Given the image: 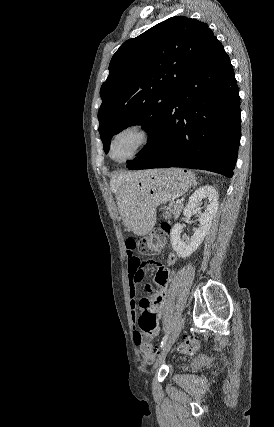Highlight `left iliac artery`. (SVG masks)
<instances>
[{"instance_id": "1", "label": "left iliac artery", "mask_w": 274, "mask_h": 427, "mask_svg": "<svg viewBox=\"0 0 274 427\" xmlns=\"http://www.w3.org/2000/svg\"><path fill=\"white\" fill-rule=\"evenodd\" d=\"M168 333L163 337V339H162V341H161V344H160V348H162V347H164V345L166 344V342H167V339H168Z\"/></svg>"}]
</instances>
